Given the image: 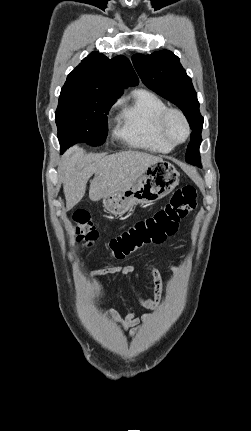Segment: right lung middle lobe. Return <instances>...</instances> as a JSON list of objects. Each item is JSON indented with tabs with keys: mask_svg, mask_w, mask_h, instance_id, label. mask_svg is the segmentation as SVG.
<instances>
[{
	"mask_svg": "<svg viewBox=\"0 0 251 431\" xmlns=\"http://www.w3.org/2000/svg\"><path fill=\"white\" fill-rule=\"evenodd\" d=\"M117 98L63 86L55 116L62 152L75 143L103 144L108 130L107 114Z\"/></svg>",
	"mask_w": 251,
	"mask_h": 431,
	"instance_id": "obj_1",
	"label": "right lung middle lobe"
}]
</instances>
